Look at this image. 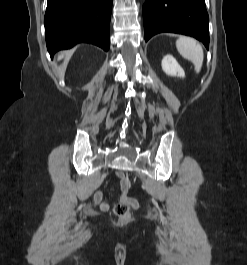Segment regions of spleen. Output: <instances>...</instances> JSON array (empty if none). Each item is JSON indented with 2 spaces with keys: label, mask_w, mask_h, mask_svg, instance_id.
Listing matches in <instances>:
<instances>
[{
  "label": "spleen",
  "mask_w": 247,
  "mask_h": 265,
  "mask_svg": "<svg viewBox=\"0 0 247 265\" xmlns=\"http://www.w3.org/2000/svg\"><path fill=\"white\" fill-rule=\"evenodd\" d=\"M176 48L184 58L194 64L195 71L198 73L204 59L202 46L190 37H179L176 41Z\"/></svg>",
  "instance_id": "1"
}]
</instances>
